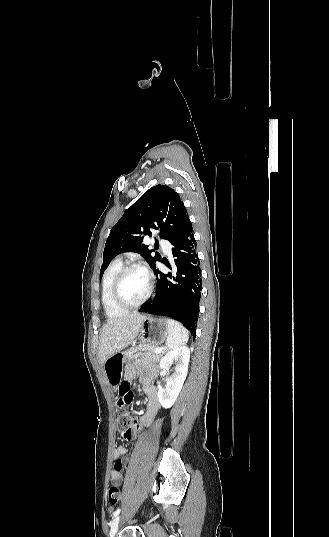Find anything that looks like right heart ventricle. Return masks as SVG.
<instances>
[{
  "mask_svg": "<svg viewBox=\"0 0 329 537\" xmlns=\"http://www.w3.org/2000/svg\"><path fill=\"white\" fill-rule=\"evenodd\" d=\"M123 267L120 258L114 259L104 273L101 284V301L104 311L108 317H119L126 313V310L118 307L113 300V285L115 278Z\"/></svg>",
  "mask_w": 329,
  "mask_h": 537,
  "instance_id": "1",
  "label": "right heart ventricle"
}]
</instances>
